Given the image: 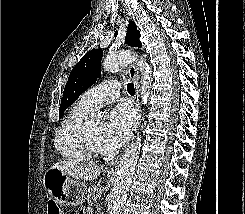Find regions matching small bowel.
<instances>
[{
  "label": "small bowel",
  "mask_w": 245,
  "mask_h": 214,
  "mask_svg": "<svg viewBox=\"0 0 245 214\" xmlns=\"http://www.w3.org/2000/svg\"><path fill=\"white\" fill-rule=\"evenodd\" d=\"M79 214H92V211L88 207H84L79 211Z\"/></svg>",
  "instance_id": "obj_1"
}]
</instances>
